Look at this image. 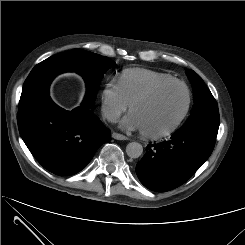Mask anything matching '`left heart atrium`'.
Segmentation results:
<instances>
[{"instance_id": "obj_1", "label": "left heart atrium", "mask_w": 245, "mask_h": 245, "mask_svg": "<svg viewBox=\"0 0 245 245\" xmlns=\"http://www.w3.org/2000/svg\"><path fill=\"white\" fill-rule=\"evenodd\" d=\"M121 126L129 130H141L140 123L133 113H130L122 120Z\"/></svg>"}]
</instances>
